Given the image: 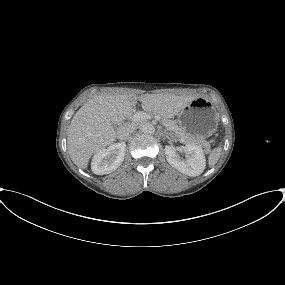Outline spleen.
Listing matches in <instances>:
<instances>
[{
	"label": "spleen",
	"instance_id": "obj_1",
	"mask_svg": "<svg viewBox=\"0 0 285 285\" xmlns=\"http://www.w3.org/2000/svg\"><path fill=\"white\" fill-rule=\"evenodd\" d=\"M221 153H222L221 146L212 150V152L210 153V155L208 157V164L210 167H213L218 162V160L221 156Z\"/></svg>",
	"mask_w": 285,
	"mask_h": 285
}]
</instances>
